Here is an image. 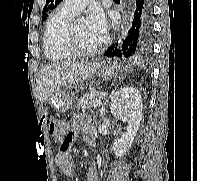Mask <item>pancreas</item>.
<instances>
[{
    "label": "pancreas",
    "mask_w": 197,
    "mask_h": 181,
    "mask_svg": "<svg viewBox=\"0 0 197 181\" xmlns=\"http://www.w3.org/2000/svg\"><path fill=\"white\" fill-rule=\"evenodd\" d=\"M101 98L102 96L99 92L87 93L77 100V106L82 109L91 108Z\"/></svg>",
    "instance_id": "cf45deb5"
}]
</instances>
